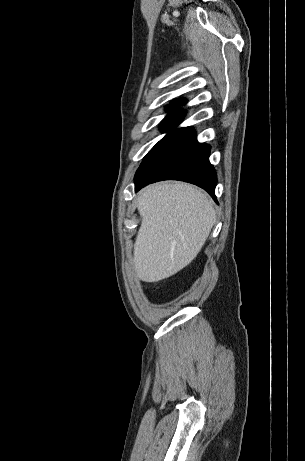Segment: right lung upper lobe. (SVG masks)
Listing matches in <instances>:
<instances>
[{"label": "right lung upper lobe", "instance_id": "1", "mask_svg": "<svg viewBox=\"0 0 305 461\" xmlns=\"http://www.w3.org/2000/svg\"><path fill=\"white\" fill-rule=\"evenodd\" d=\"M186 104V101L184 99H178V100H174L172 101V104L168 105V107H171V108H177V105H184Z\"/></svg>", "mask_w": 305, "mask_h": 461}]
</instances>
